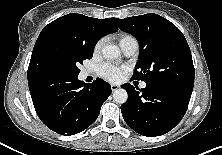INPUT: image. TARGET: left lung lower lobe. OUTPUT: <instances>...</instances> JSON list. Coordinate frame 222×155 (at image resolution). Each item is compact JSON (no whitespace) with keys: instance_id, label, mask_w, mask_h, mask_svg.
Masks as SVG:
<instances>
[{"instance_id":"obj_1","label":"left lung lower lobe","mask_w":222,"mask_h":155,"mask_svg":"<svg viewBox=\"0 0 222 155\" xmlns=\"http://www.w3.org/2000/svg\"><path fill=\"white\" fill-rule=\"evenodd\" d=\"M121 87L128 93V100L121 105L125 122L147 137L163 135L173 129L185 115L192 94L155 84H146L141 90L130 83Z\"/></svg>"}]
</instances>
